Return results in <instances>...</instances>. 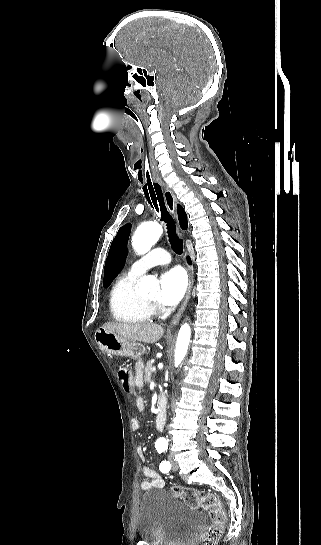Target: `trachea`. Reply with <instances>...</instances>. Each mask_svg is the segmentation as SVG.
Segmentation results:
<instances>
[{
    "mask_svg": "<svg viewBox=\"0 0 321 545\" xmlns=\"http://www.w3.org/2000/svg\"><path fill=\"white\" fill-rule=\"evenodd\" d=\"M119 112L126 113L128 116L132 115L131 117L133 119L132 120L133 123L135 124L138 123L139 120L137 118L138 117L137 114L135 113L133 114V111L131 110L129 106H120ZM141 138L143 139L142 142L145 144L147 142L145 140L146 137L143 135ZM144 158H145V162H144V167L142 171L144 174L143 191H144L145 197L147 198L150 205L154 207L156 211L161 215V221L165 223L168 239L172 249L174 250L175 253H177L178 255H181L183 252V241L181 240V238L178 237L176 233L175 222L173 218L171 217L170 213L167 211V208L165 206L163 193H162L161 187L158 185V181H159L158 175L152 174L153 162L151 158V153L145 152Z\"/></svg>",
    "mask_w": 321,
    "mask_h": 545,
    "instance_id": "obj_1",
    "label": "trachea"
}]
</instances>
